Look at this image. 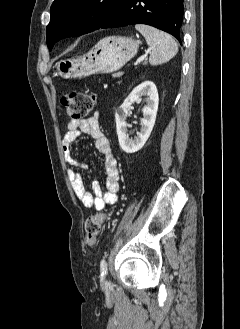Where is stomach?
Returning a JSON list of instances; mask_svg holds the SVG:
<instances>
[{"label":"stomach","instance_id":"obj_1","mask_svg":"<svg viewBox=\"0 0 240 329\" xmlns=\"http://www.w3.org/2000/svg\"><path fill=\"white\" fill-rule=\"evenodd\" d=\"M138 46V42L131 37H106L88 53L58 61L55 65L56 74L63 79H75L115 72L136 55Z\"/></svg>","mask_w":240,"mask_h":329}]
</instances>
